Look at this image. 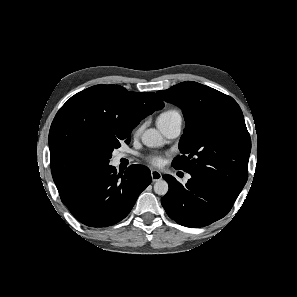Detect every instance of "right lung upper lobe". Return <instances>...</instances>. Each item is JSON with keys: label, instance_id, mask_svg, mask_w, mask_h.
<instances>
[{"label": "right lung upper lobe", "instance_id": "right-lung-upper-lobe-1", "mask_svg": "<svg viewBox=\"0 0 297 297\" xmlns=\"http://www.w3.org/2000/svg\"><path fill=\"white\" fill-rule=\"evenodd\" d=\"M163 107L155 93L129 92L119 85L100 84L72 96L49 132L51 171L61 199L108 166L109 145L129 139L142 119Z\"/></svg>", "mask_w": 297, "mask_h": 297}]
</instances>
